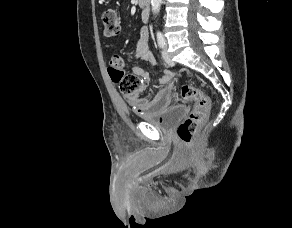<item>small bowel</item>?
<instances>
[{
  "instance_id": "small-bowel-1",
  "label": "small bowel",
  "mask_w": 292,
  "mask_h": 228,
  "mask_svg": "<svg viewBox=\"0 0 292 228\" xmlns=\"http://www.w3.org/2000/svg\"><path fill=\"white\" fill-rule=\"evenodd\" d=\"M147 17L148 15L145 13L143 18L146 20ZM134 57L140 62L148 63L153 67L156 64L154 56L148 48V30L146 28H143L141 31L140 38L135 47ZM123 65L124 62L122 68ZM131 74L137 76L141 80L142 85L140 92L151 82L150 73L142 65L134 66L131 70ZM173 76L174 72L171 70L166 69L162 72L158 80V84L161 85L162 88L153 98H136L129 100L130 105L138 116L158 115L170 107L174 91V85L171 83Z\"/></svg>"
}]
</instances>
